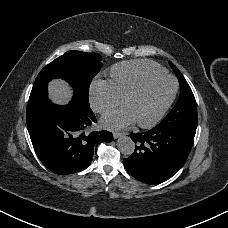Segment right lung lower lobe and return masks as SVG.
Masks as SVG:
<instances>
[{"label":"right lung lower lobe","instance_id":"98d812e1","mask_svg":"<svg viewBox=\"0 0 228 228\" xmlns=\"http://www.w3.org/2000/svg\"><path fill=\"white\" fill-rule=\"evenodd\" d=\"M26 120L38 158L59 175L85 169L91 164L95 146L113 140L111 132L91 131L96 122L94 113L72 102L56 105L48 97L29 102Z\"/></svg>","mask_w":228,"mask_h":228}]
</instances>
